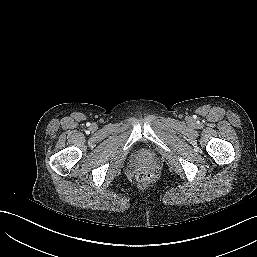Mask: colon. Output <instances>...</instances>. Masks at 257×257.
<instances>
[{
    "instance_id": "5ec220e1",
    "label": "colon",
    "mask_w": 257,
    "mask_h": 257,
    "mask_svg": "<svg viewBox=\"0 0 257 257\" xmlns=\"http://www.w3.org/2000/svg\"><path fill=\"white\" fill-rule=\"evenodd\" d=\"M153 173L147 170L140 171L137 174V180L141 184H147L152 181L153 179Z\"/></svg>"
}]
</instances>
